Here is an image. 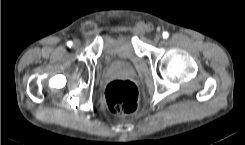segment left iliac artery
I'll use <instances>...</instances> for the list:
<instances>
[{
    "label": "left iliac artery",
    "instance_id": "obj_1",
    "mask_svg": "<svg viewBox=\"0 0 245 145\" xmlns=\"http://www.w3.org/2000/svg\"><path fill=\"white\" fill-rule=\"evenodd\" d=\"M162 36L164 39H166V38H168L169 34H168V32H163Z\"/></svg>",
    "mask_w": 245,
    "mask_h": 145
}]
</instances>
